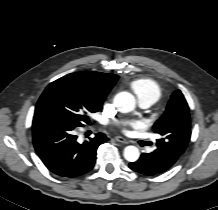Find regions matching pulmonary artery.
Returning <instances> with one entry per match:
<instances>
[{"label": "pulmonary artery", "mask_w": 218, "mask_h": 210, "mask_svg": "<svg viewBox=\"0 0 218 210\" xmlns=\"http://www.w3.org/2000/svg\"><path fill=\"white\" fill-rule=\"evenodd\" d=\"M139 105L142 108H148L151 106V103L148 100H141V101H139Z\"/></svg>", "instance_id": "1"}]
</instances>
